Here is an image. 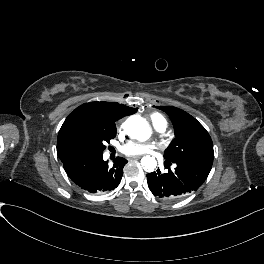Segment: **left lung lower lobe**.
Here are the masks:
<instances>
[{"label": "left lung lower lobe", "instance_id": "obj_1", "mask_svg": "<svg viewBox=\"0 0 264 264\" xmlns=\"http://www.w3.org/2000/svg\"><path fill=\"white\" fill-rule=\"evenodd\" d=\"M147 182H148V187L150 191L153 193V195L161 198L177 197L185 194L184 191L165 182L163 179H161L154 173L147 174Z\"/></svg>", "mask_w": 264, "mask_h": 264}]
</instances>
